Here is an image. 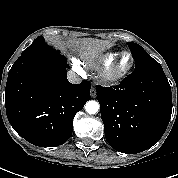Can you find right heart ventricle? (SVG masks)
<instances>
[{
	"label": "right heart ventricle",
	"mask_w": 178,
	"mask_h": 178,
	"mask_svg": "<svg viewBox=\"0 0 178 178\" xmlns=\"http://www.w3.org/2000/svg\"><path fill=\"white\" fill-rule=\"evenodd\" d=\"M119 54V52H109L104 54L98 59V65L102 67L109 66Z\"/></svg>",
	"instance_id": "1"
}]
</instances>
